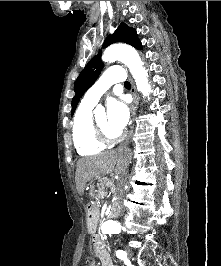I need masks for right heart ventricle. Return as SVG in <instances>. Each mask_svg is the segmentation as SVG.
<instances>
[{"instance_id": "1", "label": "right heart ventricle", "mask_w": 221, "mask_h": 266, "mask_svg": "<svg viewBox=\"0 0 221 266\" xmlns=\"http://www.w3.org/2000/svg\"><path fill=\"white\" fill-rule=\"evenodd\" d=\"M91 111L92 107L81 104L73 119V143L78 154L82 156L97 155L106 147L96 136Z\"/></svg>"}]
</instances>
